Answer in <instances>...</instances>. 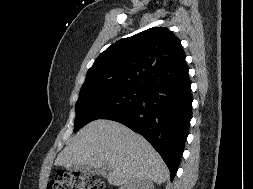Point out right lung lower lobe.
Masks as SVG:
<instances>
[{
    "mask_svg": "<svg viewBox=\"0 0 253 189\" xmlns=\"http://www.w3.org/2000/svg\"><path fill=\"white\" fill-rule=\"evenodd\" d=\"M191 81L153 86L133 107L109 116L144 136L168 166L171 181L177 172L192 118Z\"/></svg>",
    "mask_w": 253,
    "mask_h": 189,
    "instance_id": "98d812e1",
    "label": "right lung lower lobe"
}]
</instances>
